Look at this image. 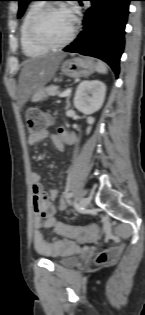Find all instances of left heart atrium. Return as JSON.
<instances>
[{"mask_svg":"<svg viewBox=\"0 0 145 315\" xmlns=\"http://www.w3.org/2000/svg\"><path fill=\"white\" fill-rule=\"evenodd\" d=\"M66 11L69 12L74 18L75 10L73 8H67Z\"/></svg>","mask_w":145,"mask_h":315,"instance_id":"1","label":"left heart atrium"}]
</instances>
